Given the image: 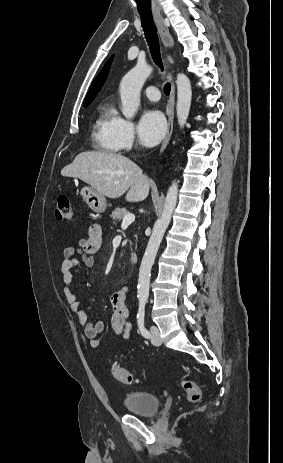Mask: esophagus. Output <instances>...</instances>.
<instances>
[{"instance_id": "1", "label": "esophagus", "mask_w": 283, "mask_h": 463, "mask_svg": "<svg viewBox=\"0 0 283 463\" xmlns=\"http://www.w3.org/2000/svg\"><path fill=\"white\" fill-rule=\"evenodd\" d=\"M154 20H155V22L157 24L159 35H160L163 46L167 50L173 49L174 40H173L172 35L169 32V28H168L169 27V21L164 19L161 15H155ZM169 61H171V60H169ZM174 104H175V85H174V81H173V79L171 77V91H170V96H169V99H168L167 109H166V113H167V116H168V128H167L165 138H164L163 143H162L161 148H160V154H162L164 152V150L166 149V147H167V145H168V143L170 141L172 132H173Z\"/></svg>"}]
</instances>
